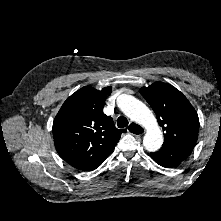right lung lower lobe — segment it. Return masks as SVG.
<instances>
[{
  "instance_id": "right-lung-lower-lobe-1",
  "label": "right lung lower lobe",
  "mask_w": 221,
  "mask_h": 221,
  "mask_svg": "<svg viewBox=\"0 0 221 221\" xmlns=\"http://www.w3.org/2000/svg\"><path fill=\"white\" fill-rule=\"evenodd\" d=\"M101 164H102V162H99V163L92 164L90 166L81 167L79 169L83 170V171H92V170L96 169L97 167H99Z\"/></svg>"
}]
</instances>
